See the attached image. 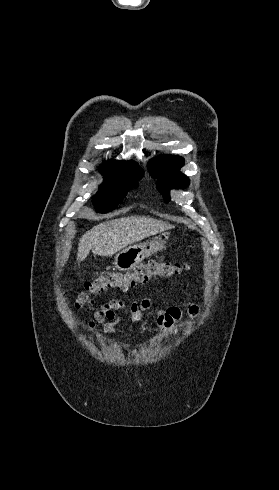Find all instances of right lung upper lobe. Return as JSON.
Here are the masks:
<instances>
[{
  "label": "right lung upper lobe",
  "instance_id": "1",
  "mask_svg": "<svg viewBox=\"0 0 279 490\" xmlns=\"http://www.w3.org/2000/svg\"><path fill=\"white\" fill-rule=\"evenodd\" d=\"M132 170H142L139 168L134 161L125 162V161H114L111 160L109 162H104V167H102L101 171L105 175V179L116 177L126 171Z\"/></svg>",
  "mask_w": 279,
  "mask_h": 490
}]
</instances>
